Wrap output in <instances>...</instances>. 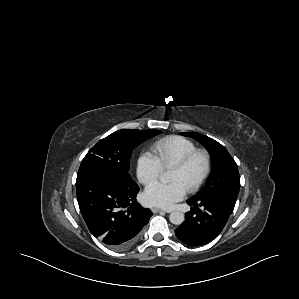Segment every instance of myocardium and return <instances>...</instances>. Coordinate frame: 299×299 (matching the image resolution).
Returning <instances> with one entry per match:
<instances>
[{
	"label": "myocardium",
	"instance_id": "obj_1",
	"mask_svg": "<svg viewBox=\"0 0 299 299\" xmlns=\"http://www.w3.org/2000/svg\"><path fill=\"white\" fill-rule=\"evenodd\" d=\"M198 156H201L204 159V170L198 178V180L187 188L189 192L197 191L209 177L212 169V158L210 153L205 149H195L192 152L185 155L180 161H178L171 167V169L179 171L185 170L191 164V162Z\"/></svg>",
	"mask_w": 299,
	"mask_h": 299
}]
</instances>
